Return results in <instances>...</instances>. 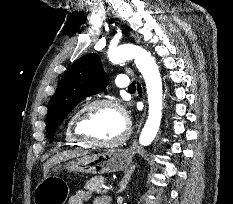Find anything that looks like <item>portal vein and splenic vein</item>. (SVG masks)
I'll list each match as a JSON object with an SVG mask.
<instances>
[{"instance_id": "1", "label": "portal vein and splenic vein", "mask_w": 233, "mask_h": 204, "mask_svg": "<svg viewBox=\"0 0 233 204\" xmlns=\"http://www.w3.org/2000/svg\"><path fill=\"white\" fill-rule=\"evenodd\" d=\"M108 190H109V188H108V187H105V188L102 190V192H103V193H106V192H108Z\"/></svg>"}]
</instances>
